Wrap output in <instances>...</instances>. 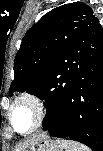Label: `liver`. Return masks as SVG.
I'll return each mask as SVG.
<instances>
[{"mask_svg": "<svg viewBox=\"0 0 103 151\" xmlns=\"http://www.w3.org/2000/svg\"><path fill=\"white\" fill-rule=\"evenodd\" d=\"M30 142V141H29ZM29 142L25 143L24 145H22L20 148H18L16 151H23L25 148H27Z\"/></svg>", "mask_w": 103, "mask_h": 151, "instance_id": "6515ba94", "label": "liver"}]
</instances>
